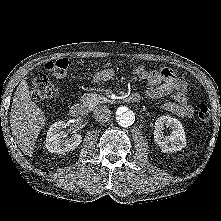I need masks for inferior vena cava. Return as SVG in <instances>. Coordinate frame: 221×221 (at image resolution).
Segmentation results:
<instances>
[{
    "mask_svg": "<svg viewBox=\"0 0 221 221\" xmlns=\"http://www.w3.org/2000/svg\"><path fill=\"white\" fill-rule=\"evenodd\" d=\"M93 114L98 122H107L111 117V111L105 105L97 106Z\"/></svg>",
    "mask_w": 221,
    "mask_h": 221,
    "instance_id": "602c4592",
    "label": "inferior vena cava"
}]
</instances>
